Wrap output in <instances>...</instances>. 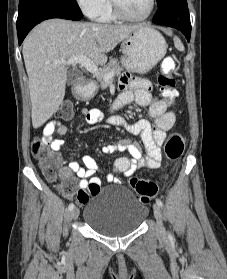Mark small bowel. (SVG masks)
I'll return each mask as SVG.
<instances>
[{"label": "small bowel", "mask_w": 227, "mask_h": 279, "mask_svg": "<svg viewBox=\"0 0 227 279\" xmlns=\"http://www.w3.org/2000/svg\"><path fill=\"white\" fill-rule=\"evenodd\" d=\"M119 87L121 92L113 102L111 111L115 113L134 102L139 106L149 108V115L154 119V123L147 119H141L136 123L128 124L117 114L109 119L110 124L123 125L131 134L139 135L146 151V155H143L139 147L129 140L105 145L102 149L105 154L128 151L130 155L129 157H120L114 161L111 172L106 175V180L109 182H117L116 174L118 173L131 176L140 168L158 169L161 165L160 147L166 139L167 131L173 127L176 119L173 112L166 111V102L153 96L152 87L148 80L134 79L124 74L120 77ZM81 114L84 120L91 125L100 123L103 119L102 113L98 109L84 108L81 110ZM55 133L66 135L67 128L62 122L52 119L47 122L43 130L45 145L49 146L55 153L61 149L66 150L67 139L54 138ZM82 163L83 166L76 161H72L62 166L60 176L64 179V183L73 176L80 179L79 186L87 194V197L78 198L77 201L84 205L91 193L89 191L90 185L92 183L100 185L101 181L96 176L100 172V167L93 156L85 155ZM66 195L70 194L66 193Z\"/></svg>", "instance_id": "obj_1"}]
</instances>
